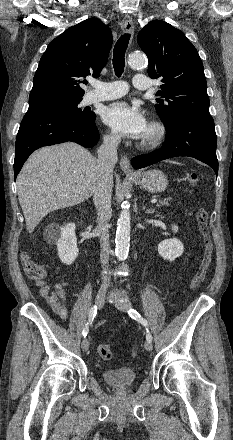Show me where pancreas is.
<instances>
[{"label": "pancreas", "mask_w": 233, "mask_h": 440, "mask_svg": "<svg viewBox=\"0 0 233 440\" xmlns=\"http://www.w3.org/2000/svg\"><path fill=\"white\" fill-rule=\"evenodd\" d=\"M171 201H172V198L164 199V200L160 201V205L169 206Z\"/></svg>", "instance_id": "obj_1"}]
</instances>
